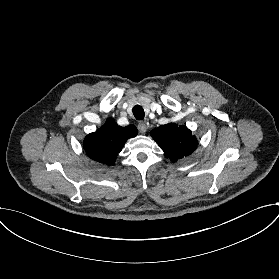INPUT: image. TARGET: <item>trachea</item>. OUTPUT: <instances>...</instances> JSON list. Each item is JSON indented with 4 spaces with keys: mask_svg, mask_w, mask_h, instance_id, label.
<instances>
[{
    "mask_svg": "<svg viewBox=\"0 0 279 279\" xmlns=\"http://www.w3.org/2000/svg\"><path fill=\"white\" fill-rule=\"evenodd\" d=\"M133 114L137 120H143L145 116L144 110L140 105L133 107Z\"/></svg>",
    "mask_w": 279,
    "mask_h": 279,
    "instance_id": "trachea-1",
    "label": "trachea"
}]
</instances>
